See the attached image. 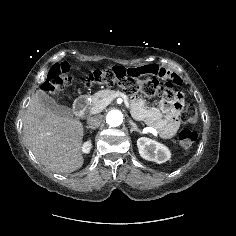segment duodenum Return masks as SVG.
<instances>
[{
    "label": "duodenum",
    "mask_w": 236,
    "mask_h": 236,
    "mask_svg": "<svg viewBox=\"0 0 236 236\" xmlns=\"http://www.w3.org/2000/svg\"><path fill=\"white\" fill-rule=\"evenodd\" d=\"M87 107H88V102L85 96L77 98L73 104V110L79 116L85 114Z\"/></svg>",
    "instance_id": "410a0bca"
}]
</instances>
